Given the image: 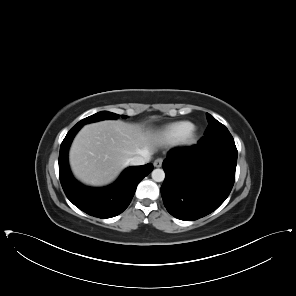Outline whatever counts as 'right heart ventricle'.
I'll return each instance as SVG.
<instances>
[{"label":"right heart ventricle","mask_w":296,"mask_h":296,"mask_svg":"<svg viewBox=\"0 0 296 296\" xmlns=\"http://www.w3.org/2000/svg\"><path fill=\"white\" fill-rule=\"evenodd\" d=\"M193 129V124L188 121H178L168 124L161 131L162 138L168 143H176L184 139L186 134Z\"/></svg>","instance_id":"e07e8e85"}]
</instances>
